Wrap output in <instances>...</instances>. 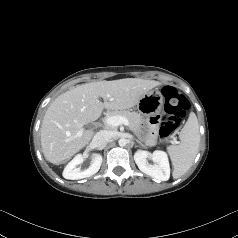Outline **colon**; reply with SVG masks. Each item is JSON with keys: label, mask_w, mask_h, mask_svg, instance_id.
<instances>
[{"label": "colon", "mask_w": 238, "mask_h": 238, "mask_svg": "<svg viewBox=\"0 0 238 238\" xmlns=\"http://www.w3.org/2000/svg\"><path fill=\"white\" fill-rule=\"evenodd\" d=\"M164 97V113L160 121V135L167 137L171 135L181 124L186 111L189 108L187 98L179 93L174 87L165 86L162 89Z\"/></svg>", "instance_id": "1"}]
</instances>
